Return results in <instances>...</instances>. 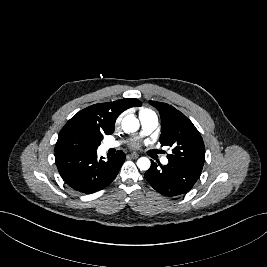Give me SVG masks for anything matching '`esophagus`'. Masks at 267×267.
Here are the masks:
<instances>
[{"label": "esophagus", "instance_id": "esophagus-1", "mask_svg": "<svg viewBox=\"0 0 267 267\" xmlns=\"http://www.w3.org/2000/svg\"><path fill=\"white\" fill-rule=\"evenodd\" d=\"M129 157H131V158H133V159H136V158L139 157V154L133 152V153H131V154L129 155Z\"/></svg>", "mask_w": 267, "mask_h": 267}]
</instances>
